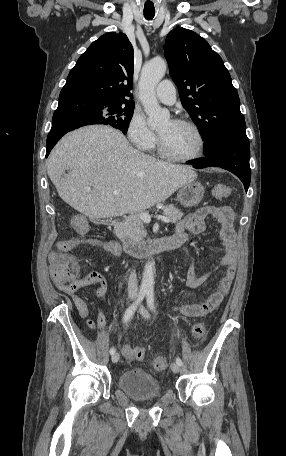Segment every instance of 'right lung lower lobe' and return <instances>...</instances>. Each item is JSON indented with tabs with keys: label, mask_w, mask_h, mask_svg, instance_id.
I'll list each match as a JSON object with an SVG mask.
<instances>
[{
	"label": "right lung lower lobe",
	"mask_w": 286,
	"mask_h": 456,
	"mask_svg": "<svg viewBox=\"0 0 286 456\" xmlns=\"http://www.w3.org/2000/svg\"><path fill=\"white\" fill-rule=\"evenodd\" d=\"M89 99V95L77 90L67 89L61 91L58 107L53 114L52 127L47 136L46 157L64 134L78 128L80 107Z\"/></svg>",
	"instance_id": "98d812e1"
}]
</instances>
